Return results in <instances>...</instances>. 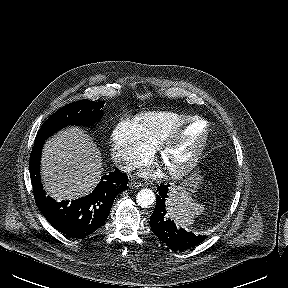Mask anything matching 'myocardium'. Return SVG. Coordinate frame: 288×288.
Segmentation results:
<instances>
[{"mask_svg": "<svg viewBox=\"0 0 288 288\" xmlns=\"http://www.w3.org/2000/svg\"><path fill=\"white\" fill-rule=\"evenodd\" d=\"M200 122L204 125V132L198 144L195 146L194 150L190 154V156L182 162L180 165L167 168V172L169 176L173 178H180L188 173H190L195 166L197 165L203 151L205 150L210 135V124L207 120L199 116L189 117L187 120L182 122L181 124L174 127L169 133H167L160 141L158 145V157L162 160L167 152L171 149L174 143L179 139V137L183 134V132L187 129V127L194 123Z\"/></svg>", "mask_w": 288, "mask_h": 288, "instance_id": "f54148a6", "label": "myocardium"}]
</instances>
